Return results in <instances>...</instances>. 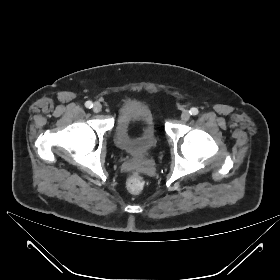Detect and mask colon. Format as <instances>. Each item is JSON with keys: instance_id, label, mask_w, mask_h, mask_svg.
Wrapping results in <instances>:
<instances>
[{"instance_id": "5ec220e1", "label": "colon", "mask_w": 280, "mask_h": 280, "mask_svg": "<svg viewBox=\"0 0 280 280\" xmlns=\"http://www.w3.org/2000/svg\"><path fill=\"white\" fill-rule=\"evenodd\" d=\"M145 182L143 178L138 174H133L127 181V189L133 194H139L143 191Z\"/></svg>"}]
</instances>
